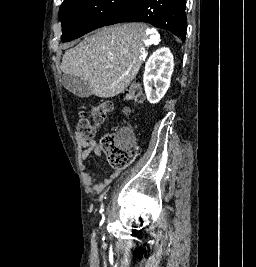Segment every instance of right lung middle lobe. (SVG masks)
<instances>
[{
  "mask_svg": "<svg viewBox=\"0 0 256 267\" xmlns=\"http://www.w3.org/2000/svg\"><path fill=\"white\" fill-rule=\"evenodd\" d=\"M138 0H64L59 16L63 42L105 26L113 19L129 13Z\"/></svg>",
  "mask_w": 256,
  "mask_h": 267,
  "instance_id": "dd1d6c3e",
  "label": "right lung middle lobe"
}]
</instances>
